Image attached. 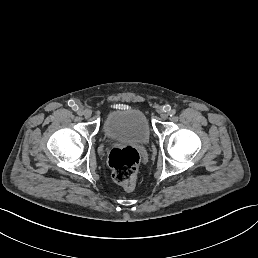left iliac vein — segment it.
Instances as JSON below:
<instances>
[{"mask_svg": "<svg viewBox=\"0 0 258 258\" xmlns=\"http://www.w3.org/2000/svg\"><path fill=\"white\" fill-rule=\"evenodd\" d=\"M161 118H162V120H164V121H165V120H167V119H168V116L164 114V115H162V117H161Z\"/></svg>", "mask_w": 258, "mask_h": 258, "instance_id": "1", "label": "left iliac vein"}]
</instances>
